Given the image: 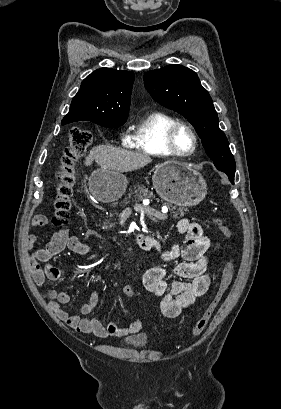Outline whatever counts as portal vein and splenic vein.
Masks as SVG:
<instances>
[{
    "label": "portal vein and splenic vein",
    "mask_w": 281,
    "mask_h": 409,
    "mask_svg": "<svg viewBox=\"0 0 281 409\" xmlns=\"http://www.w3.org/2000/svg\"><path fill=\"white\" fill-rule=\"evenodd\" d=\"M133 208L135 211H138L139 213H142L143 217H148L151 218L153 217L154 219H164L166 215H162V211L158 209L157 206H148L145 205L144 203H135L133 205Z\"/></svg>",
    "instance_id": "18ae733b"
}]
</instances>
